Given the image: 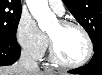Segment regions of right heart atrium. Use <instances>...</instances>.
Returning a JSON list of instances; mask_svg holds the SVG:
<instances>
[{
    "label": "right heart atrium",
    "mask_w": 102,
    "mask_h": 75,
    "mask_svg": "<svg viewBox=\"0 0 102 75\" xmlns=\"http://www.w3.org/2000/svg\"><path fill=\"white\" fill-rule=\"evenodd\" d=\"M16 38L21 47L34 59L40 60L46 53L48 40L35 20L22 15L16 27Z\"/></svg>",
    "instance_id": "obj_1"
}]
</instances>
